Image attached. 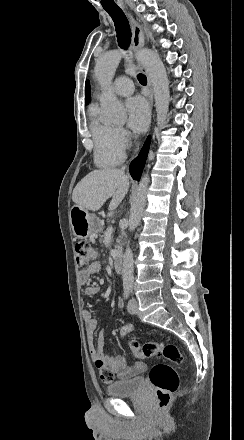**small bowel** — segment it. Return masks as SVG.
Instances as JSON below:
<instances>
[{
	"label": "small bowel",
	"instance_id": "c3829d8e",
	"mask_svg": "<svg viewBox=\"0 0 244 440\" xmlns=\"http://www.w3.org/2000/svg\"><path fill=\"white\" fill-rule=\"evenodd\" d=\"M99 270L100 263L96 261L80 271V281L82 284L86 285L85 294L87 296L92 297L99 293V287L90 284L91 278L98 273ZM83 316L86 323L90 355L95 363L99 361L103 362V364L121 380L138 377L147 370V365L144 362H135L132 365H128L125 356L123 355H117L115 357L104 355L102 332L99 333L96 343H93V335L98 326L97 320L93 318L89 312H84Z\"/></svg>",
	"mask_w": 244,
	"mask_h": 440
}]
</instances>
